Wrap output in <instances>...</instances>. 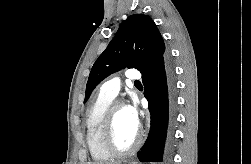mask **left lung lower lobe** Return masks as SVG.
Masks as SVG:
<instances>
[{
    "instance_id": "0a47b994",
    "label": "left lung lower lobe",
    "mask_w": 251,
    "mask_h": 164,
    "mask_svg": "<svg viewBox=\"0 0 251 164\" xmlns=\"http://www.w3.org/2000/svg\"><path fill=\"white\" fill-rule=\"evenodd\" d=\"M142 81L149 103L151 130L137 156L141 162H162L172 144L176 110L175 81L169 57L142 75Z\"/></svg>"
}]
</instances>
